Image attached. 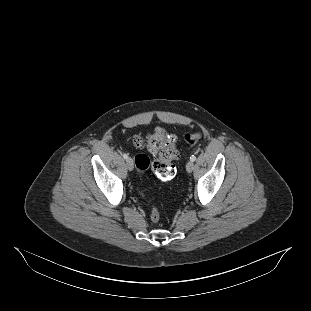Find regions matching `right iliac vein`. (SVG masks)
Returning <instances> with one entry per match:
<instances>
[{
	"mask_svg": "<svg viewBox=\"0 0 311 311\" xmlns=\"http://www.w3.org/2000/svg\"><path fill=\"white\" fill-rule=\"evenodd\" d=\"M126 165H127V168L132 171L133 168H134V162L131 158H127L126 159Z\"/></svg>",
	"mask_w": 311,
	"mask_h": 311,
	"instance_id": "right-iliac-vein-1",
	"label": "right iliac vein"
}]
</instances>
